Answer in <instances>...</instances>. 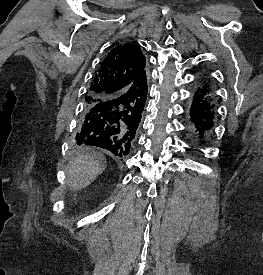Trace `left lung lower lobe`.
<instances>
[{
  "mask_svg": "<svg viewBox=\"0 0 263 275\" xmlns=\"http://www.w3.org/2000/svg\"><path fill=\"white\" fill-rule=\"evenodd\" d=\"M190 131L203 144V139L210 135L215 117L213 89L208 79L201 80L194 94L190 107Z\"/></svg>",
  "mask_w": 263,
  "mask_h": 275,
  "instance_id": "left-lung-lower-lobe-1",
  "label": "left lung lower lobe"
}]
</instances>
